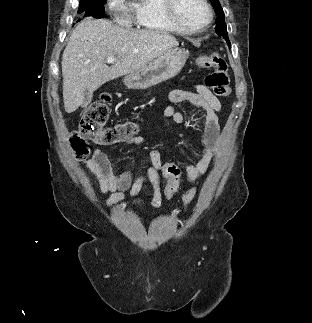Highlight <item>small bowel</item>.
<instances>
[{
    "instance_id": "obj_1",
    "label": "small bowel",
    "mask_w": 312,
    "mask_h": 323,
    "mask_svg": "<svg viewBox=\"0 0 312 323\" xmlns=\"http://www.w3.org/2000/svg\"><path fill=\"white\" fill-rule=\"evenodd\" d=\"M168 99L173 104L189 103L204 111V113H194V117L199 121L203 132V152L196 164H186L184 166L187 180L189 182H196L207 172L213 157L221 148L219 124V116L222 111L221 102L211 90L200 84L195 85L193 91L173 89L169 92ZM163 115L178 125L185 122L184 114L171 105L164 108ZM127 143L134 146H142L145 143V139L140 135H136L130 137ZM158 158H162L161 153L158 150H151L149 152L150 165L147 168L146 176L138 177L134 181H132V174L129 171L116 173L107 155L101 149L94 150L91 157L85 161V165L98 179L101 192L104 194L112 192L106 203L107 208H112L117 203L126 200V192H128L130 197H136L146 180L153 187V199L162 198L160 174L154 173L155 167L163 166L158 165Z\"/></svg>"
}]
</instances>
